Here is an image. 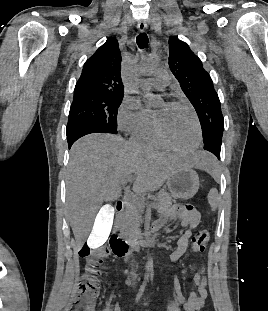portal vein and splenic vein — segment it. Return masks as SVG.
I'll use <instances>...</instances> for the list:
<instances>
[{
    "instance_id": "portal-vein-and-splenic-vein-1",
    "label": "portal vein and splenic vein",
    "mask_w": 268,
    "mask_h": 311,
    "mask_svg": "<svg viewBox=\"0 0 268 311\" xmlns=\"http://www.w3.org/2000/svg\"><path fill=\"white\" fill-rule=\"evenodd\" d=\"M133 179H134L133 177H128V178L125 179V183L131 182Z\"/></svg>"
}]
</instances>
